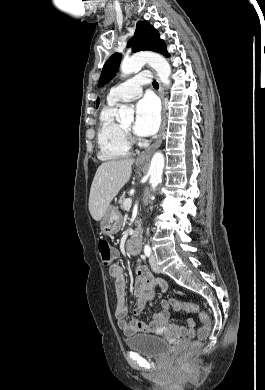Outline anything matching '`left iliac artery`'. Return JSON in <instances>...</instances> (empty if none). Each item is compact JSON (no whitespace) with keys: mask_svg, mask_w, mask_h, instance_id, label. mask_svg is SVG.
Instances as JSON below:
<instances>
[{"mask_svg":"<svg viewBox=\"0 0 265 390\" xmlns=\"http://www.w3.org/2000/svg\"><path fill=\"white\" fill-rule=\"evenodd\" d=\"M144 253H145V255H146L147 257L150 256V254H151V248L149 247V245H146V246L144 247Z\"/></svg>","mask_w":265,"mask_h":390,"instance_id":"1","label":"left iliac artery"}]
</instances>
